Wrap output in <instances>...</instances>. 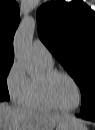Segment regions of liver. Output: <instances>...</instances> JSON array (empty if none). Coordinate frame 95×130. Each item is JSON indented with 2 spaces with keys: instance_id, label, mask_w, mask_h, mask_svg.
Here are the masks:
<instances>
[{
  "instance_id": "6515ba94",
  "label": "liver",
  "mask_w": 95,
  "mask_h": 130,
  "mask_svg": "<svg viewBox=\"0 0 95 130\" xmlns=\"http://www.w3.org/2000/svg\"><path fill=\"white\" fill-rule=\"evenodd\" d=\"M70 118L73 116L0 104V130H53L58 123Z\"/></svg>"
}]
</instances>
